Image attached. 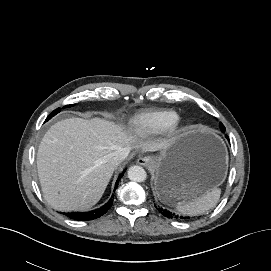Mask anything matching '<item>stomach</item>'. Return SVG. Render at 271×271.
Wrapping results in <instances>:
<instances>
[{"label": "stomach", "instance_id": "stomach-1", "mask_svg": "<svg viewBox=\"0 0 271 271\" xmlns=\"http://www.w3.org/2000/svg\"><path fill=\"white\" fill-rule=\"evenodd\" d=\"M227 168L220 137L208 129H186L152 159L155 194L167 204L196 199L220 185Z\"/></svg>", "mask_w": 271, "mask_h": 271}]
</instances>
